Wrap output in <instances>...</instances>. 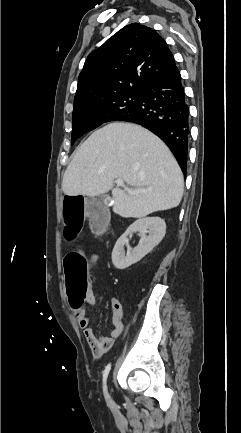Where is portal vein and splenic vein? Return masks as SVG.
I'll list each match as a JSON object with an SVG mask.
<instances>
[{
	"label": "portal vein and splenic vein",
	"instance_id": "1",
	"mask_svg": "<svg viewBox=\"0 0 241 433\" xmlns=\"http://www.w3.org/2000/svg\"><path fill=\"white\" fill-rule=\"evenodd\" d=\"M116 184H117V186L123 187L129 194H135L136 193L135 190H132V189L128 188L127 186H125L124 181L122 179H117Z\"/></svg>",
	"mask_w": 241,
	"mask_h": 433
}]
</instances>
